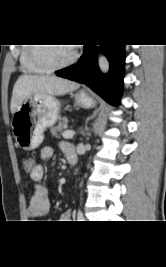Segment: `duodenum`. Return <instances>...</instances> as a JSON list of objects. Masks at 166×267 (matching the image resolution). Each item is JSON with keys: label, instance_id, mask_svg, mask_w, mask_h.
I'll return each instance as SVG.
<instances>
[{"label": "duodenum", "instance_id": "obj_1", "mask_svg": "<svg viewBox=\"0 0 166 267\" xmlns=\"http://www.w3.org/2000/svg\"><path fill=\"white\" fill-rule=\"evenodd\" d=\"M67 160H68V163H69L71 166H75L76 163H77V158H76V157H73V156L68 157Z\"/></svg>", "mask_w": 166, "mask_h": 267}]
</instances>
